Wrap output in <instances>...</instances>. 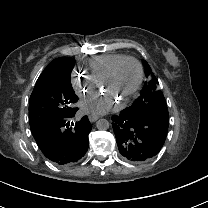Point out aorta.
<instances>
[{
	"instance_id": "aorta-1",
	"label": "aorta",
	"mask_w": 208,
	"mask_h": 208,
	"mask_svg": "<svg viewBox=\"0 0 208 208\" xmlns=\"http://www.w3.org/2000/svg\"><path fill=\"white\" fill-rule=\"evenodd\" d=\"M96 128L101 131H105L109 128V122L106 119H99L96 122Z\"/></svg>"
}]
</instances>
